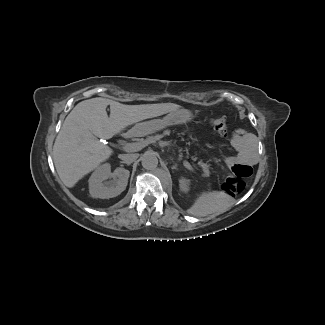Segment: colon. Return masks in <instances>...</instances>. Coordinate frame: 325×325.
Masks as SVG:
<instances>
[{"mask_svg":"<svg viewBox=\"0 0 325 325\" xmlns=\"http://www.w3.org/2000/svg\"><path fill=\"white\" fill-rule=\"evenodd\" d=\"M211 124L219 136L225 137L227 135V125L224 119H214ZM251 173L252 169L248 165H234L232 174L222 183L223 191L232 196L240 194L245 189V179H247Z\"/></svg>","mask_w":325,"mask_h":325,"instance_id":"colon-1","label":"colon"}]
</instances>
